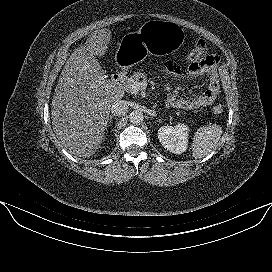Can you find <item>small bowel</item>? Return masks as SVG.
Returning <instances> with one entry per match:
<instances>
[{
  "instance_id": "obj_1",
  "label": "small bowel",
  "mask_w": 272,
  "mask_h": 272,
  "mask_svg": "<svg viewBox=\"0 0 272 272\" xmlns=\"http://www.w3.org/2000/svg\"><path fill=\"white\" fill-rule=\"evenodd\" d=\"M197 48L205 51V46L202 42L198 43ZM218 64L219 59L217 56L204 53L201 60L189 66L185 73V77L192 80L201 75L207 74L209 76V83L206 90L194 97H184L179 94H171L167 98V103L174 108L185 110H194L210 105L220 91V82L217 72ZM165 70L168 74L183 76L182 70L172 63H167L165 65Z\"/></svg>"
}]
</instances>
